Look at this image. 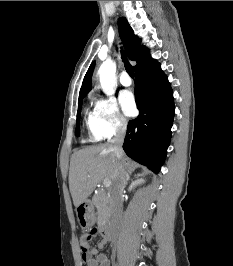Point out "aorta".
Segmentation results:
<instances>
[{"instance_id":"762f6f07","label":"aorta","mask_w":233,"mask_h":266,"mask_svg":"<svg viewBox=\"0 0 233 266\" xmlns=\"http://www.w3.org/2000/svg\"><path fill=\"white\" fill-rule=\"evenodd\" d=\"M103 92L111 96L117 89L116 63L110 59L104 61L98 70Z\"/></svg>"}]
</instances>
